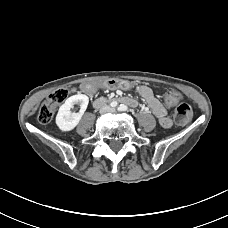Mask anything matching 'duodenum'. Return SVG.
Returning a JSON list of instances; mask_svg holds the SVG:
<instances>
[{"label":"duodenum","instance_id":"1","mask_svg":"<svg viewBox=\"0 0 228 228\" xmlns=\"http://www.w3.org/2000/svg\"><path fill=\"white\" fill-rule=\"evenodd\" d=\"M117 100L121 103V104H124V105H130V106H134L135 105V101L130 99V98H127V97H120V98H117ZM106 102V99L105 98H98L94 101V105L95 106H100L102 105L103 103Z\"/></svg>","mask_w":228,"mask_h":228}]
</instances>
